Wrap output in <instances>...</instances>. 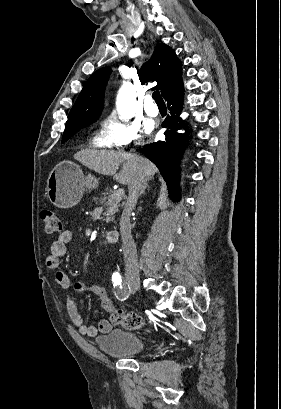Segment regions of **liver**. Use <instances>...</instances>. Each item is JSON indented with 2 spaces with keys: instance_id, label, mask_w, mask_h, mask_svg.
<instances>
[{
  "instance_id": "obj_1",
  "label": "liver",
  "mask_w": 281,
  "mask_h": 409,
  "mask_svg": "<svg viewBox=\"0 0 281 409\" xmlns=\"http://www.w3.org/2000/svg\"><path fill=\"white\" fill-rule=\"evenodd\" d=\"M74 158L92 168L95 172L100 174H108L112 176L117 182L121 184H131V180L134 176V162L136 158H140L143 162V170L146 178H153L155 172H158L157 166L134 152H116V150H96V148H83L80 152L74 154ZM123 162L122 170L116 172L119 168V164Z\"/></svg>"
}]
</instances>
